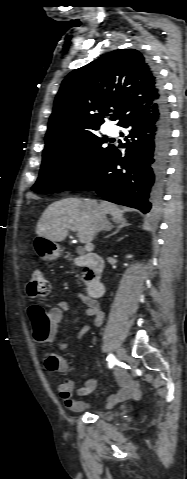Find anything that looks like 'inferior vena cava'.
Segmentation results:
<instances>
[{"instance_id": "inferior-vena-cava-1", "label": "inferior vena cava", "mask_w": 187, "mask_h": 479, "mask_svg": "<svg viewBox=\"0 0 187 479\" xmlns=\"http://www.w3.org/2000/svg\"><path fill=\"white\" fill-rule=\"evenodd\" d=\"M91 206L93 209L96 231L100 232L109 226V222L106 218V214L96 203L91 202Z\"/></svg>"}]
</instances>
